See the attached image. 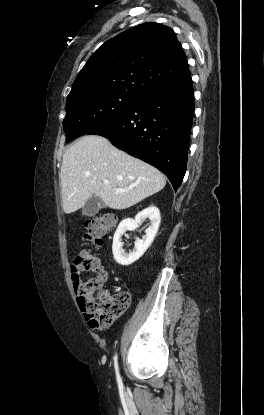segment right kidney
Here are the masks:
<instances>
[{"label": "right kidney", "instance_id": "1", "mask_svg": "<svg viewBox=\"0 0 264 415\" xmlns=\"http://www.w3.org/2000/svg\"><path fill=\"white\" fill-rule=\"evenodd\" d=\"M147 218L150 219V225L146 229L145 235L142 239H136L132 252L129 254L126 253L122 248L123 243L121 237L127 230H134L138 228L142 221ZM160 220V211L155 206H149L148 208L142 210L135 216V219L126 218L122 220L113 237L112 251L115 261L123 266L131 265L137 261L153 242L158 232Z\"/></svg>", "mask_w": 264, "mask_h": 415}]
</instances>
